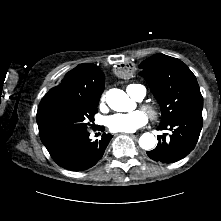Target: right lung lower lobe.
<instances>
[{"label": "right lung lower lobe", "mask_w": 221, "mask_h": 221, "mask_svg": "<svg viewBox=\"0 0 221 221\" xmlns=\"http://www.w3.org/2000/svg\"><path fill=\"white\" fill-rule=\"evenodd\" d=\"M97 129L103 131L104 127L98 126ZM111 138V134L103 133L100 140L92 142L87 132L50 155L59 166L65 169L84 171L97 164L102 158Z\"/></svg>", "instance_id": "right-lung-lower-lobe-1"}]
</instances>
